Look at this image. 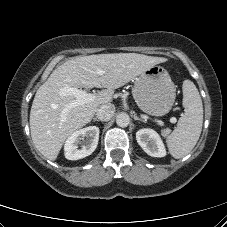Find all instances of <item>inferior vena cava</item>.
Instances as JSON below:
<instances>
[{"mask_svg":"<svg viewBox=\"0 0 227 227\" xmlns=\"http://www.w3.org/2000/svg\"><path fill=\"white\" fill-rule=\"evenodd\" d=\"M115 113V106L111 103L102 104L96 110V116L101 121H109Z\"/></svg>","mask_w":227,"mask_h":227,"instance_id":"1","label":"inferior vena cava"}]
</instances>
